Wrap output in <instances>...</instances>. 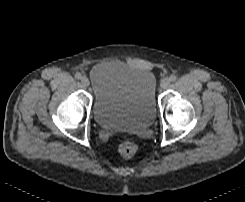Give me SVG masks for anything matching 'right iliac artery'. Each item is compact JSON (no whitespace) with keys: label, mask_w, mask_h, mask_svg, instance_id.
I'll return each instance as SVG.
<instances>
[{"label":"right iliac artery","mask_w":245,"mask_h":202,"mask_svg":"<svg viewBox=\"0 0 245 202\" xmlns=\"http://www.w3.org/2000/svg\"><path fill=\"white\" fill-rule=\"evenodd\" d=\"M75 78H76V79H80V78H81V74H80V73H76V74H75Z\"/></svg>","instance_id":"1"}]
</instances>
